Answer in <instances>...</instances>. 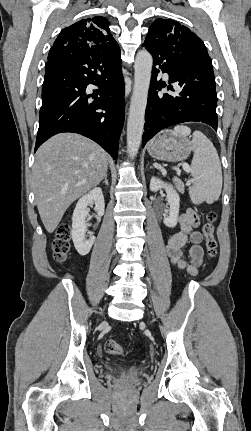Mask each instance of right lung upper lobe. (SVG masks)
Masks as SVG:
<instances>
[{"mask_svg": "<svg viewBox=\"0 0 251 431\" xmlns=\"http://www.w3.org/2000/svg\"><path fill=\"white\" fill-rule=\"evenodd\" d=\"M63 50L79 58L98 59L106 65L120 60V49L112 37L106 18L96 16L64 28L50 49L49 56Z\"/></svg>", "mask_w": 251, "mask_h": 431, "instance_id": "1", "label": "right lung upper lobe"}]
</instances>
